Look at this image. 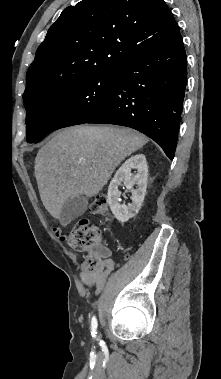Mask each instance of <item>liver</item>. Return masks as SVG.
Returning <instances> with one entry per match:
<instances>
[{
    "instance_id": "6515ba94",
    "label": "liver",
    "mask_w": 221,
    "mask_h": 379,
    "mask_svg": "<svg viewBox=\"0 0 221 379\" xmlns=\"http://www.w3.org/2000/svg\"><path fill=\"white\" fill-rule=\"evenodd\" d=\"M147 142L140 132L116 126H76L57 132L35 159L44 207L59 219L69 198L97 195L116 167Z\"/></svg>"
}]
</instances>
